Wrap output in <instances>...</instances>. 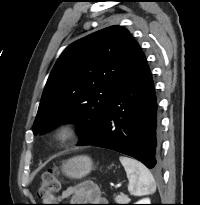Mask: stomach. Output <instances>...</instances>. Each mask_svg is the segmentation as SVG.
I'll return each mask as SVG.
<instances>
[{"instance_id":"1","label":"stomach","mask_w":200,"mask_h":205,"mask_svg":"<svg viewBox=\"0 0 200 205\" xmlns=\"http://www.w3.org/2000/svg\"><path fill=\"white\" fill-rule=\"evenodd\" d=\"M93 167V162L90 157L85 155L72 157L62 163V173L74 179H80L88 175Z\"/></svg>"}]
</instances>
